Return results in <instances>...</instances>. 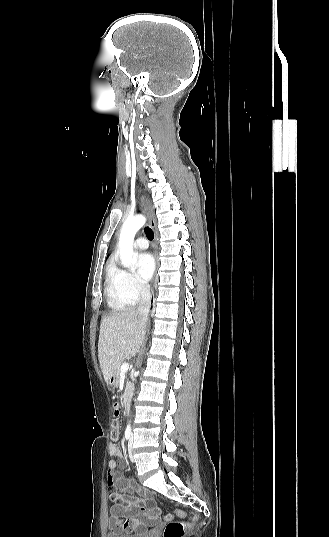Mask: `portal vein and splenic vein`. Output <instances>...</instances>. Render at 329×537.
Wrapping results in <instances>:
<instances>
[{
	"label": "portal vein and splenic vein",
	"instance_id": "portal-vein-and-splenic-vein-1",
	"mask_svg": "<svg viewBox=\"0 0 329 537\" xmlns=\"http://www.w3.org/2000/svg\"><path fill=\"white\" fill-rule=\"evenodd\" d=\"M129 369V364L128 363H123L122 366H121V372L122 373H125L127 372Z\"/></svg>",
	"mask_w": 329,
	"mask_h": 537
}]
</instances>
